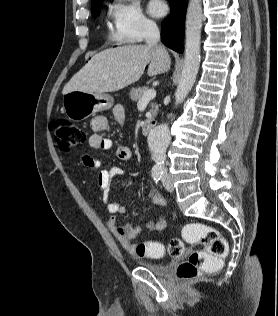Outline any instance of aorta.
Instances as JSON below:
<instances>
[{
  "instance_id": "762f6f07",
  "label": "aorta",
  "mask_w": 278,
  "mask_h": 316,
  "mask_svg": "<svg viewBox=\"0 0 278 316\" xmlns=\"http://www.w3.org/2000/svg\"><path fill=\"white\" fill-rule=\"evenodd\" d=\"M201 0H190L186 14V44L182 74L175 92V105L181 104L191 91L200 65V39L202 27ZM170 117V115L168 116ZM148 146L157 168H162L171 141L167 124L154 127L148 135Z\"/></svg>"
}]
</instances>
